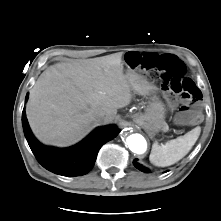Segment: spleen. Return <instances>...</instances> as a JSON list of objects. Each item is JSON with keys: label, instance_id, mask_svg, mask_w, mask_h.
<instances>
[{"label": "spleen", "instance_id": "obj_1", "mask_svg": "<svg viewBox=\"0 0 221 221\" xmlns=\"http://www.w3.org/2000/svg\"><path fill=\"white\" fill-rule=\"evenodd\" d=\"M201 132L198 126L183 136L168 141L164 145L154 143L149 156L150 162L158 167H166L175 164L188 154L196 143Z\"/></svg>", "mask_w": 221, "mask_h": 221}]
</instances>
